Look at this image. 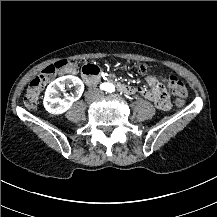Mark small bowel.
I'll return each instance as SVG.
<instances>
[{
	"label": "small bowel",
	"instance_id": "1",
	"mask_svg": "<svg viewBox=\"0 0 217 217\" xmlns=\"http://www.w3.org/2000/svg\"><path fill=\"white\" fill-rule=\"evenodd\" d=\"M147 80L152 84V88L147 91L142 88H138L137 92L146 95L147 98L155 103L159 109L164 111L169 110L170 105L166 92L155 82L154 77H149Z\"/></svg>",
	"mask_w": 217,
	"mask_h": 217
}]
</instances>
